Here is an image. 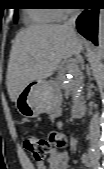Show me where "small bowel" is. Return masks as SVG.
Listing matches in <instances>:
<instances>
[{
    "label": "small bowel",
    "mask_w": 104,
    "mask_h": 169,
    "mask_svg": "<svg viewBox=\"0 0 104 169\" xmlns=\"http://www.w3.org/2000/svg\"><path fill=\"white\" fill-rule=\"evenodd\" d=\"M58 127L61 129L62 124L59 123ZM56 135V142L58 144H64L66 141V136L63 132H59ZM69 154L67 150L60 148H53L51 150L50 156L47 163L39 162L37 163V169H67L68 167ZM81 164L85 167L91 166V160L87 154H83L80 158Z\"/></svg>",
    "instance_id": "small-bowel-1"
}]
</instances>
